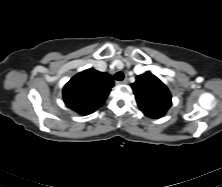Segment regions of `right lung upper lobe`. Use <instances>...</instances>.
I'll return each mask as SVG.
<instances>
[{"mask_svg": "<svg viewBox=\"0 0 222 187\" xmlns=\"http://www.w3.org/2000/svg\"><path fill=\"white\" fill-rule=\"evenodd\" d=\"M112 77L94 69H87L70 79L63 88L65 104L81 115L97 110L109 95Z\"/></svg>", "mask_w": 222, "mask_h": 187, "instance_id": "1", "label": "right lung upper lobe"}]
</instances>
